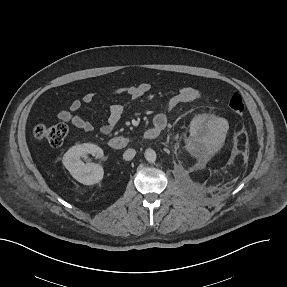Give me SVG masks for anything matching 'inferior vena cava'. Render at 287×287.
Returning <instances> with one entry per match:
<instances>
[{"instance_id":"obj_1","label":"inferior vena cava","mask_w":287,"mask_h":287,"mask_svg":"<svg viewBox=\"0 0 287 287\" xmlns=\"http://www.w3.org/2000/svg\"><path fill=\"white\" fill-rule=\"evenodd\" d=\"M136 151L134 149H127L123 154V159L129 161L134 158Z\"/></svg>"}]
</instances>
